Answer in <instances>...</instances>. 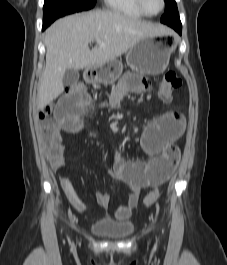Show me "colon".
Segmentation results:
<instances>
[{
	"label": "colon",
	"mask_w": 227,
	"mask_h": 265,
	"mask_svg": "<svg viewBox=\"0 0 227 265\" xmlns=\"http://www.w3.org/2000/svg\"><path fill=\"white\" fill-rule=\"evenodd\" d=\"M182 85L181 78L173 71L167 72L159 86V98L161 101L168 103L172 100L173 91L178 89ZM70 87H83L81 84H74ZM85 91V90H84ZM52 106L45 107L41 113L40 118L46 123V129L50 132L51 124L49 119L52 115ZM179 159V150L177 147L169 148L164 154L157 158V165L163 171L164 177L170 176L172 171L175 169ZM160 193L157 189L150 191L143 200L145 207L152 206L159 198Z\"/></svg>",
	"instance_id": "1"
}]
</instances>
